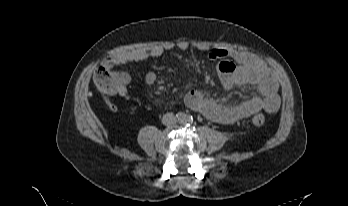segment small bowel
Wrapping results in <instances>:
<instances>
[{
    "label": "small bowel",
    "instance_id": "c3829d8e",
    "mask_svg": "<svg viewBox=\"0 0 348 206\" xmlns=\"http://www.w3.org/2000/svg\"><path fill=\"white\" fill-rule=\"evenodd\" d=\"M191 46L192 44L187 41H181L177 44V47L183 51L188 50ZM194 47L205 52L211 60L218 61V74L225 88H232L236 85H252L257 87L260 94L231 106L208 98L199 91H192L187 99L191 107L202 112L210 120L225 125L234 124L262 110L270 114L278 111L280 107L278 82L271 69L264 62L242 51H229L224 48L201 45ZM165 49L162 47L135 49L116 56L114 62L119 67H126L135 62L160 56ZM157 79L158 77L154 72H149L145 76V81L149 85L155 84ZM128 82L129 76L126 75L121 90L116 93L126 101L130 99L126 87Z\"/></svg>",
    "mask_w": 348,
    "mask_h": 206
}]
</instances>
